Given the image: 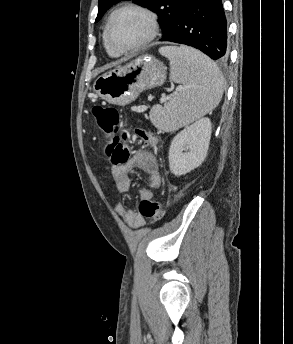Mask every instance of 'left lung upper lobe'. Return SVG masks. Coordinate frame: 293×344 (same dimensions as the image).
Segmentation results:
<instances>
[{"instance_id": "obj_1", "label": "left lung upper lobe", "mask_w": 293, "mask_h": 344, "mask_svg": "<svg viewBox=\"0 0 293 344\" xmlns=\"http://www.w3.org/2000/svg\"><path fill=\"white\" fill-rule=\"evenodd\" d=\"M120 1L121 0H99L98 15L95 22H98L110 7ZM184 1L185 0H133L134 3L147 7L158 15L163 36L174 24Z\"/></svg>"}]
</instances>
